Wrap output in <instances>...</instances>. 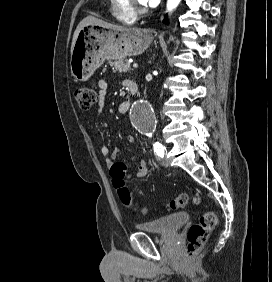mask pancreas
<instances>
[{
  "mask_svg": "<svg viewBox=\"0 0 272 282\" xmlns=\"http://www.w3.org/2000/svg\"><path fill=\"white\" fill-rule=\"evenodd\" d=\"M115 71L130 73L132 71L130 63L127 60L120 59L118 61L108 62Z\"/></svg>",
  "mask_w": 272,
  "mask_h": 282,
  "instance_id": "pancreas-1",
  "label": "pancreas"
}]
</instances>
